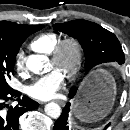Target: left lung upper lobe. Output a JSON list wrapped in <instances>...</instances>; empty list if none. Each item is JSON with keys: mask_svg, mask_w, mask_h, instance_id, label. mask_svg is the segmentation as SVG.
<instances>
[{"mask_svg": "<svg viewBox=\"0 0 130 130\" xmlns=\"http://www.w3.org/2000/svg\"><path fill=\"white\" fill-rule=\"evenodd\" d=\"M53 27L80 42L86 58V71L103 63L116 61L119 64H123L125 61L124 53L117 37L94 22L73 20L54 24ZM76 91L77 88H74L71 92L76 93Z\"/></svg>", "mask_w": 130, "mask_h": 130, "instance_id": "1", "label": "left lung upper lobe"}]
</instances>
